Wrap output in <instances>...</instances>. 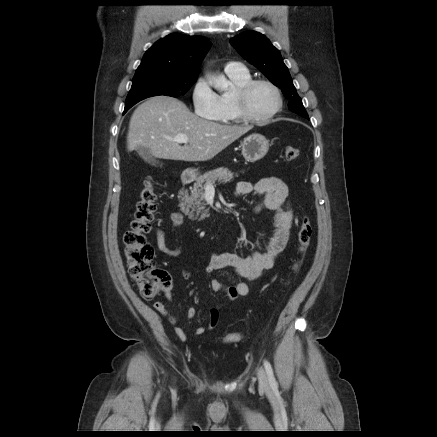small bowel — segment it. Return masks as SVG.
Wrapping results in <instances>:
<instances>
[{
    "instance_id": "1",
    "label": "small bowel",
    "mask_w": 437,
    "mask_h": 437,
    "mask_svg": "<svg viewBox=\"0 0 437 437\" xmlns=\"http://www.w3.org/2000/svg\"><path fill=\"white\" fill-rule=\"evenodd\" d=\"M255 194L259 197V202L254 207V212L259 213L263 210L274 212V233L273 236L265 243L264 251H254L249 255H239L237 253H216L210 258L206 271L214 273L220 270L231 268L242 281L226 285L219 279L214 278L211 281V287L216 292H223L229 301L236 300L245 296L249 292L250 284L260 279L265 272L271 269L277 257L285 249L293 222V210L288 201V187L281 179L277 177L262 178L256 183L241 181L236 186V195L245 197ZM173 228L180 227L184 222V216L180 212H174L170 216ZM156 241L159 250L169 256H176L180 249H170L165 242V233L161 228H157ZM163 291L166 298L172 300V279L168 274L164 276ZM222 305H217L209 310V329L216 327L219 321V310ZM154 308L162 315L167 316L172 323L177 319L170 316L166 307L161 302H155ZM196 316V310L190 307L186 311V317L193 319ZM205 327L198 326L194 334L201 335L205 332ZM180 340L185 341L188 334L180 327L175 329Z\"/></svg>"
}]
</instances>
